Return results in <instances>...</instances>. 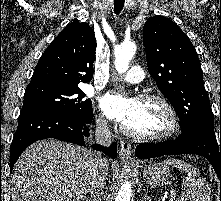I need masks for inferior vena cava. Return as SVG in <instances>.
Returning a JSON list of instances; mask_svg holds the SVG:
<instances>
[{"instance_id":"inferior-vena-cava-1","label":"inferior vena cava","mask_w":221,"mask_h":201,"mask_svg":"<svg viewBox=\"0 0 221 201\" xmlns=\"http://www.w3.org/2000/svg\"><path fill=\"white\" fill-rule=\"evenodd\" d=\"M95 140L97 143L108 146L112 142V133L110 132L107 121L104 118L96 121ZM107 159L102 157V153L94 154V163L91 171L90 193L93 201L100 199L105 186V174Z\"/></svg>"}]
</instances>
